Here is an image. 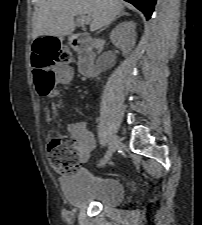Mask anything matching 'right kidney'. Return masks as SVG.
I'll list each match as a JSON object with an SVG mask.
<instances>
[{
    "label": "right kidney",
    "mask_w": 202,
    "mask_h": 225,
    "mask_svg": "<svg viewBox=\"0 0 202 225\" xmlns=\"http://www.w3.org/2000/svg\"><path fill=\"white\" fill-rule=\"evenodd\" d=\"M136 24L133 21H125L118 24L110 34V39L115 47L121 49L124 55L129 54L136 43Z\"/></svg>",
    "instance_id": "ca27d5eb"
}]
</instances>
